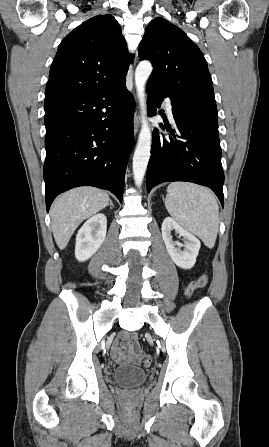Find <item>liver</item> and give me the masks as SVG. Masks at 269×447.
Listing matches in <instances>:
<instances>
[{
  "instance_id": "1",
  "label": "liver",
  "mask_w": 269,
  "mask_h": 447,
  "mask_svg": "<svg viewBox=\"0 0 269 447\" xmlns=\"http://www.w3.org/2000/svg\"><path fill=\"white\" fill-rule=\"evenodd\" d=\"M108 204V194L98 188H74L61 194L51 208L52 231L59 249L66 247L83 220L101 212Z\"/></svg>"
}]
</instances>
